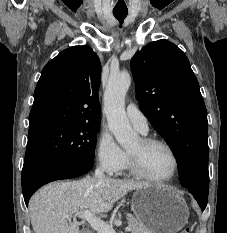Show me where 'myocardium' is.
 <instances>
[{
    "mask_svg": "<svg viewBox=\"0 0 227 233\" xmlns=\"http://www.w3.org/2000/svg\"><path fill=\"white\" fill-rule=\"evenodd\" d=\"M140 142H141L143 147H149L152 145H161V146L165 147L169 151V153L171 154V156L173 158V163H174L173 170L166 177L152 176L144 170V168L140 162L139 157L137 155H135L134 153L128 151V160H129V165H130L131 171L135 175H137L138 177L143 178V179L148 180V181L166 182V181L172 180L177 175L178 170H179V158L177 156V153L173 149V147L168 142H166L162 139H159V138H154V137H142L140 139Z\"/></svg>",
    "mask_w": 227,
    "mask_h": 233,
    "instance_id": "obj_1",
    "label": "myocardium"
}]
</instances>
